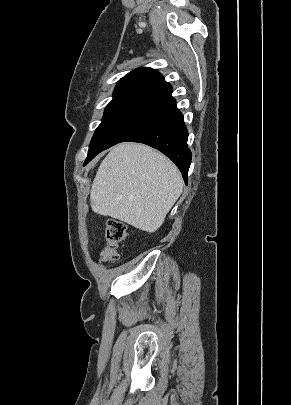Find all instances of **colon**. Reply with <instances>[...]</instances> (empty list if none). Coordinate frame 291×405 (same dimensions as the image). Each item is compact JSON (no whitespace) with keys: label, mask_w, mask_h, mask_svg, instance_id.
Returning a JSON list of instances; mask_svg holds the SVG:
<instances>
[{"label":"colon","mask_w":291,"mask_h":405,"mask_svg":"<svg viewBox=\"0 0 291 405\" xmlns=\"http://www.w3.org/2000/svg\"><path fill=\"white\" fill-rule=\"evenodd\" d=\"M127 235L126 225L115 219H109L105 225L106 245L101 251L102 262L116 261L119 257L118 246Z\"/></svg>","instance_id":"5ec220e1"}]
</instances>
